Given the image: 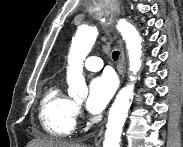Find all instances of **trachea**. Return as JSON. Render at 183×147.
Segmentation results:
<instances>
[{
	"label": "trachea",
	"instance_id": "3493384b",
	"mask_svg": "<svg viewBox=\"0 0 183 147\" xmlns=\"http://www.w3.org/2000/svg\"><path fill=\"white\" fill-rule=\"evenodd\" d=\"M119 54H120L119 51H114V52L112 53V58H113V60H115V61L118 60Z\"/></svg>",
	"mask_w": 183,
	"mask_h": 147
}]
</instances>
